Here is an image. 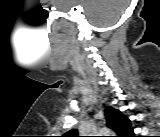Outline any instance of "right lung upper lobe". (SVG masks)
Segmentation results:
<instances>
[{
    "mask_svg": "<svg viewBox=\"0 0 160 137\" xmlns=\"http://www.w3.org/2000/svg\"><path fill=\"white\" fill-rule=\"evenodd\" d=\"M105 116L107 127L112 129L119 137H128L127 135L133 134L130 120L119 110L108 106L105 109Z\"/></svg>",
    "mask_w": 160,
    "mask_h": 137,
    "instance_id": "cb5924a9",
    "label": "right lung upper lobe"
}]
</instances>
